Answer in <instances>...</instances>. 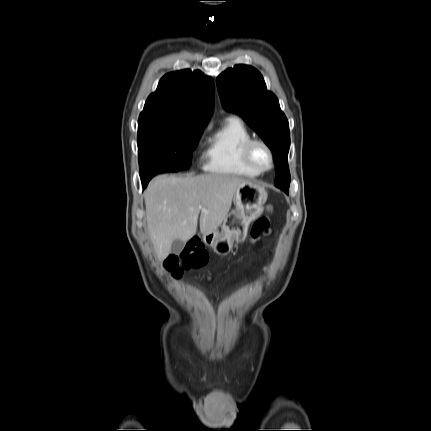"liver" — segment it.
Instances as JSON below:
<instances>
[{
	"instance_id": "obj_1",
	"label": "liver",
	"mask_w": 431,
	"mask_h": 431,
	"mask_svg": "<svg viewBox=\"0 0 431 431\" xmlns=\"http://www.w3.org/2000/svg\"><path fill=\"white\" fill-rule=\"evenodd\" d=\"M247 182L242 177L216 173L155 178L146 189L145 205L157 258H167L175 239L186 242L195 236L199 214L201 234L217 231L228 215L237 188Z\"/></svg>"
}]
</instances>
